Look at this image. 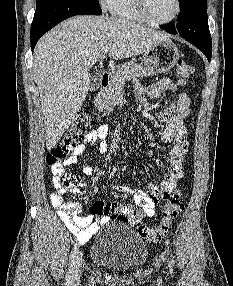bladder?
<instances>
[{"mask_svg": "<svg viewBox=\"0 0 233 286\" xmlns=\"http://www.w3.org/2000/svg\"><path fill=\"white\" fill-rule=\"evenodd\" d=\"M148 249L141 236L129 225L113 222L106 225L91 249V261L114 272H128L141 267Z\"/></svg>", "mask_w": 233, "mask_h": 286, "instance_id": "31cf9c89", "label": "bladder"}]
</instances>
